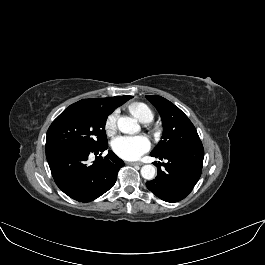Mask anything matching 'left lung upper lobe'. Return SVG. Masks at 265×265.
<instances>
[{
	"instance_id": "obj_1",
	"label": "left lung upper lobe",
	"mask_w": 265,
	"mask_h": 265,
	"mask_svg": "<svg viewBox=\"0 0 265 265\" xmlns=\"http://www.w3.org/2000/svg\"><path fill=\"white\" fill-rule=\"evenodd\" d=\"M146 98L158 110L164 128L161 141L151 154L163 155L172 149L200 142L194 125L177 106L161 96L148 95Z\"/></svg>"
}]
</instances>
